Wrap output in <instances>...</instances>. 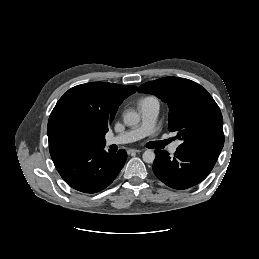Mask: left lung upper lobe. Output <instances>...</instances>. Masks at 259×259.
Returning <instances> with one entry per match:
<instances>
[{
  "label": "left lung upper lobe",
  "instance_id": "left-lung-upper-lobe-1",
  "mask_svg": "<svg viewBox=\"0 0 259 259\" xmlns=\"http://www.w3.org/2000/svg\"><path fill=\"white\" fill-rule=\"evenodd\" d=\"M139 92L149 93L169 107L168 129L182 140L178 148L197 146L222 150L223 118L212 96L198 83L179 77H165L141 85Z\"/></svg>",
  "mask_w": 259,
  "mask_h": 259
}]
</instances>
